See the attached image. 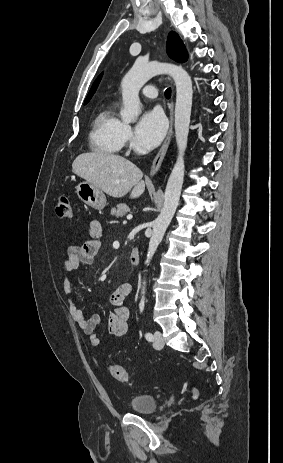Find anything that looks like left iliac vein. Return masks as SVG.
<instances>
[{
	"mask_svg": "<svg viewBox=\"0 0 283 463\" xmlns=\"http://www.w3.org/2000/svg\"><path fill=\"white\" fill-rule=\"evenodd\" d=\"M164 339L162 337V334L160 331H155L154 333V340H153V346L156 349H161L164 347Z\"/></svg>",
	"mask_w": 283,
	"mask_h": 463,
	"instance_id": "1",
	"label": "left iliac vein"
}]
</instances>
